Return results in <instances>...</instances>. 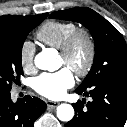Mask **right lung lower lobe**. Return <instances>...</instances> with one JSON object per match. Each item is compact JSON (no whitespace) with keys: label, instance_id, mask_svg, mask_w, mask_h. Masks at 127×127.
<instances>
[{"label":"right lung lower lobe","instance_id":"right-lung-lower-lobe-1","mask_svg":"<svg viewBox=\"0 0 127 127\" xmlns=\"http://www.w3.org/2000/svg\"><path fill=\"white\" fill-rule=\"evenodd\" d=\"M46 107L37 97L25 96L13 103L10 92L0 93V127H33Z\"/></svg>","mask_w":127,"mask_h":127}]
</instances>
